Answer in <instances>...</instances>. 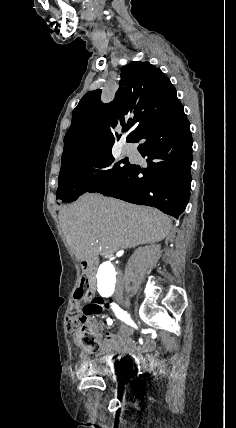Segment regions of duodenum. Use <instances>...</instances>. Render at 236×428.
Returning a JSON list of instances; mask_svg holds the SVG:
<instances>
[{
	"label": "duodenum",
	"mask_w": 236,
	"mask_h": 428,
	"mask_svg": "<svg viewBox=\"0 0 236 428\" xmlns=\"http://www.w3.org/2000/svg\"><path fill=\"white\" fill-rule=\"evenodd\" d=\"M81 267L89 281L90 289L96 291V266L92 260H84L81 263Z\"/></svg>",
	"instance_id": "duodenum-1"
}]
</instances>
